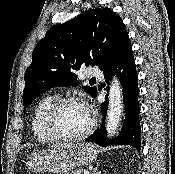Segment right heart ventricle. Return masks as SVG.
<instances>
[{
	"label": "right heart ventricle",
	"mask_w": 175,
	"mask_h": 174,
	"mask_svg": "<svg viewBox=\"0 0 175 174\" xmlns=\"http://www.w3.org/2000/svg\"><path fill=\"white\" fill-rule=\"evenodd\" d=\"M58 100L57 95L44 96L37 103L31 121V129L34 138L40 143H52L55 139L48 133L45 126V118L49 108Z\"/></svg>",
	"instance_id": "right-heart-ventricle-1"
}]
</instances>
